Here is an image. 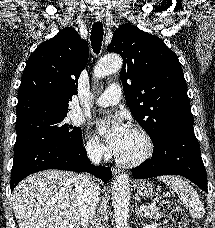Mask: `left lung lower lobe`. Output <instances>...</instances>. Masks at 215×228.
I'll list each match as a JSON object with an SVG mask.
<instances>
[{
  "label": "left lung lower lobe",
  "mask_w": 215,
  "mask_h": 228,
  "mask_svg": "<svg viewBox=\"0 0 215 228\" xmlns=\"http://www.w3.org/2000/svg\"><path fill=\"white\" fill-rule=\"evenodd\" d=\"M136 179L181 175L207 190V176L193 126L166 132L154 143L152 158L131 169Z\"/></svg>",
  "instance_id": "1"
}]
</instances>
